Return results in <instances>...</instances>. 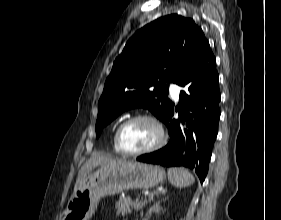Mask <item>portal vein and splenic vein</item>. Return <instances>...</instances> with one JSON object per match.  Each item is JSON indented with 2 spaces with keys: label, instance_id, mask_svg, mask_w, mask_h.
Masks as SVG:
<instances>
[{
  "label": "portal vein and splenic vein",
  "instance_id": "18ae733b",
  "mask_svg": "<svg viewBox=\"0 0 281 220\" xmlns=\"http://www.w3.org/2000/svg\"><path fill=\"white\" fill-rule=\"evenodd\" d=\"M161 192H164V190H160ZM149 197H151V195H149Z\"/></svg>",
  "mask_w": 281,
  "mask_h": 220
}]
</instances>
